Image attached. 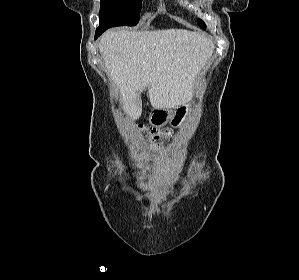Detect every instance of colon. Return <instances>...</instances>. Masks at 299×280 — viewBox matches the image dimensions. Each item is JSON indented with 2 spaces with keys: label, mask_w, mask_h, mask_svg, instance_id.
I'll use <instances>...</instances> for the list:
<instances>
[{
  "label": "colon",
  "mask_w": 299,
  "mask_h": 280,
  "mask_svg": "<svg viewBox=\"0 0 299 280\" xmlns=\"http://www.w3.org/2000/svg\"><path fill=\"white\" fill-rule=\"evenodd\" d=\"M150 138L154 144H161L167 137V133L152 129L149 131Z\"/></svg>",
  "instance_id": "5ec220e1"
}]
</instances>
